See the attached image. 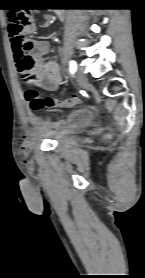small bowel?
I'll use <instances>...</instances> for the list:
<instances>
[{
    "mask_svg": "<svg viewBox=\"0 0 145 278\" xmlns=\"http://www.w3.org/2000/svg\"><path fill=\"white\" fill-rule=\"evenodd\" d=\"M34 31L35 23L33 19H31V24L27 27V32L31 34ZM11 49L16 70L23 80L26 75L41 68V87L47 91H55L58 89L62 81L60 67L54 60L49 62L44 61V57L49 49L48 42H40L36 45V58L29 55L25 48L15 45L12 38ZM28 116L30 123L36 124L38 122V118L32 113Z\"/></svg>",
    "mask_w": 145,
    "mask_h": 278,
    "instance_id": "1",
    "label": "small bowel"
}]
</instances>
